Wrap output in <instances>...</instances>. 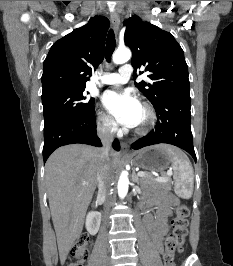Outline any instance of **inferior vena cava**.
Masks as SVG:
<instances>
[{"instance_id":"obj_1","label":"inferior vena cava","mask_w":233,"mask_h":266,"mask_svg":"<svg viewBox=\"0 0 233 266\" xmlns=\"http://www.w3.org/2000/svg\"><path fill=\"white\" fill-rule=\"evenodd\" d=\"M115 127L112 122H106L97 127V134L101 139L103 147L99 149L100 167L97 173V183L99 194L107 196L110 190V185L113 180V175L109 170L108 160L111 143L114 140ZM112 205L111 197L107 196L105 210H108Z\"/></svg>"}]
</instances>
